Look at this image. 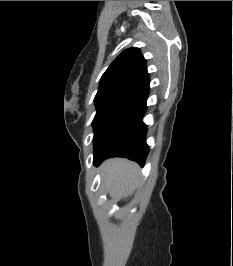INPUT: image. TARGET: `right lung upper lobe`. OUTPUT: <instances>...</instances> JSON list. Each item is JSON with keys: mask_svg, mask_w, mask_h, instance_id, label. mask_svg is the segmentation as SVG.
Here are the masks:
<instances>
[{"mask_svg": "<svg viewBox=\"0 0 233 266\" xmlns=\"http://www.w3.org/2000/svg\"><path fill=\"white\" fill-rule=\"evenodd\" d=\"M146 60L140 49L123 51L101 77L95 99L120 93H148Z\"/></svg>", "mask_w": 233, "mask_h": 266, "instance_id": "cb5924a9", "label": "right lung upper lobe"}]
</instances>
